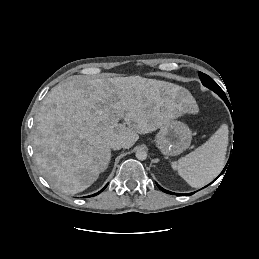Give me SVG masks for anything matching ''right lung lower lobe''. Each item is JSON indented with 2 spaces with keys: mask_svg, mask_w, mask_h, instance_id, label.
I'll return each instance as SVG.
<instances>
[{
  "mask_svg": "<svg viewBox=\"0 0 259 259\" xmlns=\"http://www.w3.org/2000/svg\"><path fill=\"white\" fill-rule=\"evenodd\" d=\"M106 187H107V185H106L101 191H99L98 193H96V194H94V195H91V196H95V195L99 194V193L102 192ZM91 196H89V197H91Z\"/></svg>",
  "mask_w": 259,
  "mask_h": 259,
  "instance_id": "right-lung-lower-lobe-1",
  "label": "right lung lower lobe"
}]
</instances>
